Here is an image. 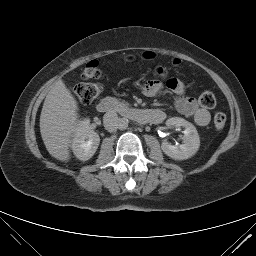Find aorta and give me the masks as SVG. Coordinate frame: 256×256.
<instances>
[{"instance_id":"1","label":"aorta","mask_w":256,"mask_h":256,"mask_svg":"<svg viewBox=\"0 0 256 256\" xmlns=\"http://www.w3.org/2000/svg\"><path fill=\"white\" fill-rule=\"evenodd\" d=\"M128 127V119L120 118L118 128L121 130L127 129Z\"/></svg>"}]
</instances>
